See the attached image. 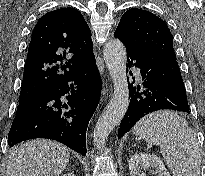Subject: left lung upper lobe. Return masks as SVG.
<instances>
[{"label": "left lung upper lobe", "instance_id": "1", "mask_svg": "<svg viewBox=\"0 0 205 176\" xmlns=\"http://www.w3.org/2000/svg\"><path fill=\"white\" fill-rule=\"evenodd\" d=\"M114 36L126 47L154 59L176 61L173 37L167 24L151 12L137 8L126 11Z\"/></svg>", "mask_w": 205, "mask_h": 176}]
</instances>
